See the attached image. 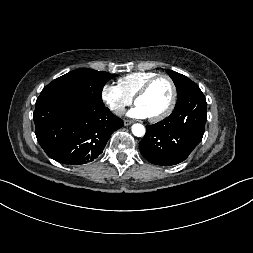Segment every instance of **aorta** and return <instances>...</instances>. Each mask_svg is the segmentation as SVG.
I'll list each match as a JSON object with an SVG mask.
<instances>
[{
	"label": "aorta",
	"mask_w": 253,
	"mask_h": 253,
	"mask_svg": "<svg viewBox=\"0 0 253 253\" xmlns=\"http://www.w3.org/2000/svg\"><path fill=\"white\" fill-rule=\"evenodd\" d=\"M132 133L137 137H142L145 134V127L142 124H134L132 126Z\"/></svg>",
	"instance_id": "obj_1"
}]
</instances>
